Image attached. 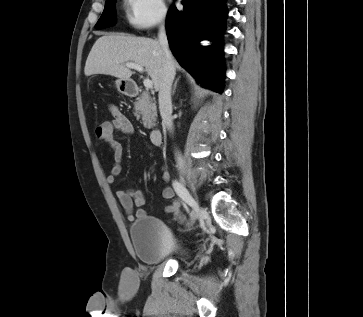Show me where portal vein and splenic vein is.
<instances>
[{
  "instance_id": "obj_1",
  "label": "portal vein and splenic vein",
  "mask_w": 363,
  "mask_h": 317,
  "mask_svg": "<svg viewBox=\"0 0 363 317\" xmlns=\"http://www.w3.org/2000/svg\"><path fill=\"white\" fill-rule=\"evenodd\" d=\"M125 66L130 68V69H135L140 73H142L144 71V68L141 65H138L136 63H126ZM143 84L147 89H150V88L153 87L152 81L150 79H148V78L144 79Z\"/></svg>"
}]
</instances>
